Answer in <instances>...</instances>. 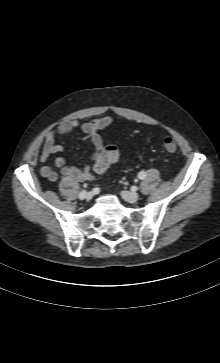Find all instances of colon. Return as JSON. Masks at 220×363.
<instances>
[{"label":"colon","instance_id":"5ec220e1","mask_svg":"<svg viewBox=\"0 0 220 363\" xmlns=\"http://www.w3.org/2000/svg\"><path fill=\"white\" fill-rule=\"evenodd\" d=\"M164 148L168 152H175L177 150V143L176 141L171 138L167 137L164 139ZM119 150L115 146H108L103 151V164L104 166H109L112 164H115L119 159ZM103 172V168L98 169V174H101Z\"/></svg>","mask_w":220,"mask_h":363}]
</instances>
